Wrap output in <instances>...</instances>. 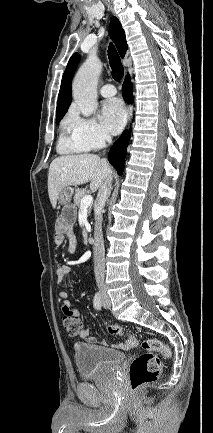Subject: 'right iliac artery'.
<instances>
[{"label":"right iliac artery","instance_id":"right-iliac-artery-1","mask_svg":"<svg viewBox=\"0 0 213 433\" xmlns=\"http://www.w3.org/2000/svg\"><path fill=\"white\" fill-rule=\"evenodd\" d=\"M93 305H94L95 309L101 310L102 300H101V295L99 292H97L94 296Z\"/></svg>","mask_w":213,"mask_h":433}]
</instances>
